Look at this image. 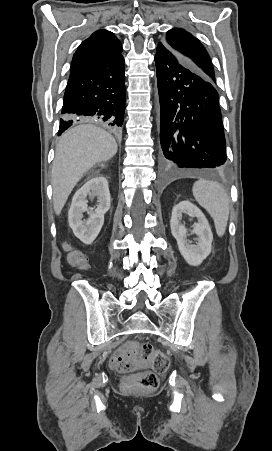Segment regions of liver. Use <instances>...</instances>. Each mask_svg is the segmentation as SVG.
I'll list each match as a JSON object with an SVG mask.
<instances>
[{
	"label": "liver",
	"instance_id": "1",
	"mask_svg": "<svg viewBox=\"0 0 272 451\" xmlns=\"http://www.w3.org/2000/svg\"><path fill=\"white\" fill-rule=\"evenodd\" d=\"M116 152L117 144L111 134L93 124H80L64 132L56 146L51 176L56 216L61 214L83 174L98 162H107Z\"/></svg>",
	"mask_w": 272,
	"mask_h": 451
}]
</instances>
